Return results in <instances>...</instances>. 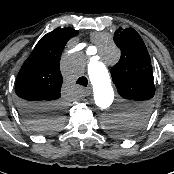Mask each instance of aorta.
<instances>
[{
  "mask_svg": "<svg viewBox=\"0 0 174 174\" xmlns=\"http://www.w3.org/2000/svg\"><path fill=\"white\" fill-rule=\"evenodd\" d=\"M103 55L107 61L115 62L119 57V50L112 41L107 39ZM88 73L93 84L95 103L101 111L100 124L104 129H110V124L126 116V113L124 111L108 112L107 110L114 101V91L104 63L91 62L88 66Z\"/></svg>",
  "mask_w": 174,
  "mask_h": 174,
  "instance_id": "aorta-1",
  "label": "aorta"
}]
</instances>
